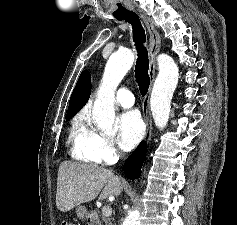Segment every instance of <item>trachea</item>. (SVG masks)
<instances>
[{
    "instance_id": "trachea-1",
    "label": "trachea",
    "mask_w": 237,
    "mask_h": 225,
    "mask_svg": "<svg viewBox=\"0 0 237 225\" xmlns=\"http://www.w3.org/2000/svg\"><path fill=\"white\" fill-rule=\"evenodd\" d=\"M118 20H125L132 25L133 40L137 50V61L135 65V78L138 83L141 95L144 97L150 84L148 51L144 46L146 41L145 31L141 25L139 17L135 13L125 14Z\"/></svg>"
}]
</instances>
